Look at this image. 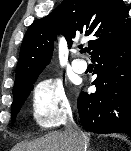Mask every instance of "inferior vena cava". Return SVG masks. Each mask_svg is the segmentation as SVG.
Here are the masks:
<instances>
[{
	"label": "inferior vena cava",
	"instance_id": "1",
	"mask_svg": "<svg viewBox=\"0 0 131 151\" xmlns=\"http://www.w3.org/2000/svg\"><path fill=\"white\" fill-rule=\"evenodd\" d=\"M65 132L70 136L77 151H86L87 142L85 134L78 128L72 116H69Z\"/></svg>",
	"mask_w": 131,
	"mask_h": 151
}]
</instances>
